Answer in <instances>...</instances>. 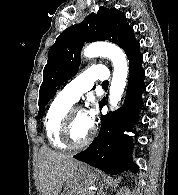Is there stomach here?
<instances>
[{
    "label": "stomach",
    "instance_id": "stomach-1",
    "mask_svg": "<svg viewBox=\"0 0 178 195\" xmlns=\"http://www.w3.org/2000/svg\"><path fill=\"white\" fill-rule=\"evenodd\" d=\"M97 175V172L92 168L78 167L74 175L66 182L61 195H85L88 193L87 188L94 184Z\"/></svg>",
    "mask_w": 178,
    "mask_h": 195
}]
</instances>
